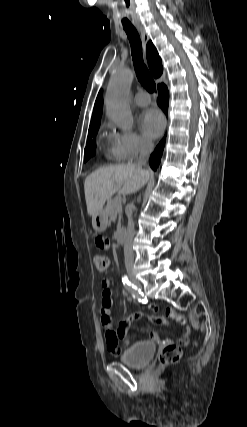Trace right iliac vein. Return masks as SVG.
Wrapping results in <instances>:
<instances>
[{
  "label": "right iliac vein",
  "instance_id": "obj_1",
  "mask_svg": "<svg viewBox=\"0 0 247 427\" xmlns=\"http://www.w3.org/2000/svg\"><path fill=\"white\" fill-rule=\"evenodd\" d=\"M132 283H133L135 286L139 287V289H142V288H143L142 284H141L137 279H135V278H132Z\"/></svg>",
  "mask_w": 247,
  "mask_h": 427
}]
</instances>
